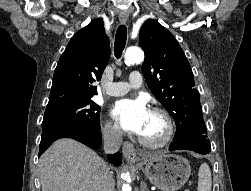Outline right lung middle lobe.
<instances>
[{
    "mask_svg": "<svg viewBox=\"0 0 251 191\" xmlns=\"http://www.w3.org/2000/svg\"><path fill=\"white\" fill-rule=\"evenodd\" d=\"M100 107L92 100H78L60 103L46 108L42 135L67 125H82L99 128Z\"/></svg>",
    "mask_w": 251,
    "mask_h": 191,
    "instance_id": "right-lung-middle-lobe-1",
    "label": "right lung middle lobe"
}]
</instances>
